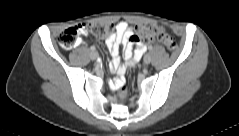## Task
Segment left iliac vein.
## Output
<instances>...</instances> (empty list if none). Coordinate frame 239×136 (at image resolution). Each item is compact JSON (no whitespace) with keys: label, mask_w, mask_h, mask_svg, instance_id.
Wrapping results in <instances>:
<instances>
[{"label":"left iliac vein","mask_w":239,"mask_h":136,"mask_svg":"<svg viewBox=\"0 0 239 136\" xmlns=\"http://www.w3.org/2000/svg\"><path fill=\"white\" fill-rule=\"evenodd\" d=\"M143 61L145 64H149L151 62V57L149 55H145Z\"/></svg>","instance_id":"obj_1"}]
</instances>
